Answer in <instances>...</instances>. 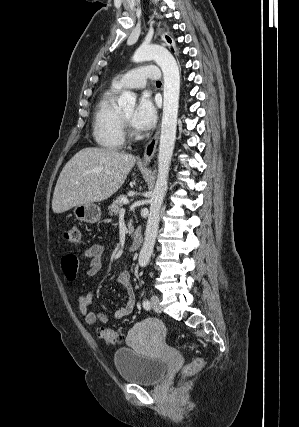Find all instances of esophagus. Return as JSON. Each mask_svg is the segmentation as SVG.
I'll return each mask as SVG.
<instances>
[{
	"instance_id": "esophagus-1",
	"label": "esophagus",
	"mask_w": 299,
	"mask_h": 427,
	"mask_svg": "<svg viewBox=\"0 0 299 427\" xmlns=\"http://www.w3.org/2000/svg\"><path fill=\"white\" fill-rule=\"evenodd\" d=\"M159 133H160V130L158 128L156 133L154 134V136L150 139V141L147 143V145L145 147V151H144V155H143V164L144 165H147L150 163V161L152 160V158L156 152V148H157V144H158V140H159Z\"/></svg>"
}]
</instances>
